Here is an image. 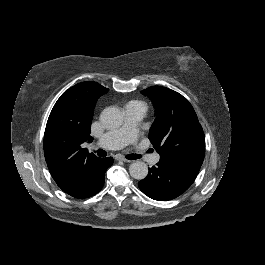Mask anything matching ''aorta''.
<instances>
[{"label": "aorta", "mask_w": 265, "mask_h": 265, "mask_svg": "<svg viewBox=\"0 0 265 265\" xmlns=\"http://www.w3.org/2000/svg\"><path fill=\"white\" fill-rule=\"evenodd\" d=\"M100 120L106 128L115 129L123 124L124 114L118 107L110 106L102 111ZM129 173L133 178L142 180L148 174V166L143 161H134L129 166Z\"/></svg>", "instance_id": "1"}]
</instances>
